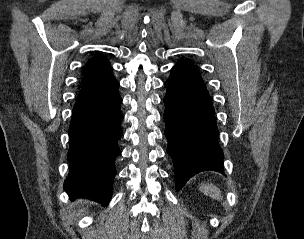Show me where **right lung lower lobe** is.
Masks as SVG:
<instances>
[{
    "mask_svg": "<svg viewBox=\"0 0 304 239\" xmlns=\"http://www.w3.org/2000/svg\"><path fill=\"white\" fill-rule=\"evenodd\" d=\"M119 82L112 70L82 88L69 127V176L64 189L72 199L88 198L106 206L111 199L122 136Z\"/></svg>",
    "mask_w": 304,
    "mask_h": 239,
    "instance_id": "right-lung-lower-lobe-1",
    "label": "right lung lower lobe"
}]
</instances>
